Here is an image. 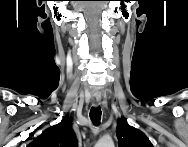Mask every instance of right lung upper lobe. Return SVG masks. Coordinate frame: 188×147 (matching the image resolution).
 I'll list each match as a JSON object with an SVG mask.
<instances>
[{"label":"right lung upper lobe","mask_w":188,"mask_h":147,"mask_svg":"<svg viewBox=\"0 0 188 147\" xmlns=\"http://www.w3.org/2000/svg\"><path fill=\"white\" fill-rule=\"evenodd\" d=\"M32 147H77L71 119L64 117L60 123L46 129L31 144Z\"/></svg>","instance_id":"right-lung-upper-lobe-1"}]
</instances>
